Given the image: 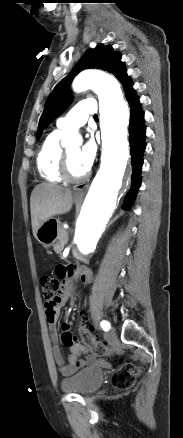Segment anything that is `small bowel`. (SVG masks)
Listing matches in <instances>:
<instances>
[{
    "label": "small bowel",
    "mask_w": 183,
    "mask_h": 438,
    "mask_svg": "<svg viewBox=\"0 0 183 438\" xmlns=\"http://www.w3.org/2000/svg\"><path fill=\"white\" fill-rule=\"evenodd\" d=\"M56 275L64 280L68 278L78 277L83 283H87L91 280L90 271L81 266L75 265H59L56 267ZM73 295L72 287L64 281L63 286L56 297L52 300H48L44 304L45 316L48 325L52 331L53 341V357L56 364L59 367V371L64 376L74 374L78 369L85 367L86 365L95 362V357L87 355L85 358H79L82 354H88L89 350L86 346L79 343L76 337L70 332L69 325L67 323L62 324V343L71 349L72 354L68 359V364L64 363L63 356L58 344V335L56 332L57 322L60 315V310L64 304L71 299Z\"/></svg>",
    "instance_id": "1"
}]
</instances>
